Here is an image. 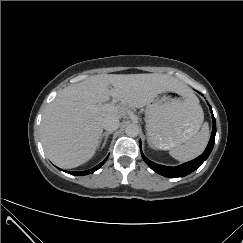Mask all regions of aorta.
Returning <instances> with one entry per match:
<instances>
[{"label":"aorta","instance_id":"aorta-1","mask_svg":"<svg viewBox=\"0 0 243 243\" xmlns=\"http://www.w3.org/2000/svg\"><path fill=\"white\" fill-rule=\"evenodd\" d=\"M140 132L139 126L137 124L131 123L126 126L125 133L127 136L136 137Z\"/></svg>","mask_w":243,"mask_h":243}]
</instances>
